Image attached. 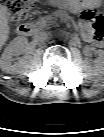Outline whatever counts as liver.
Masks as SVG:
<instances>
[{
	"mask_svg": "<svg viewBox=\"0 0 104 137\" xmlns=\"http://www.w3.org/2000/svg\"><path fill=\"white\" fill-rule=\"evenodd\" d=\"M9 37V25L6 17V8L1 7L0 11V40L1 44L7 41Z\"/></svg>",
	"mask_w": 104,
	"mask_h": 137,
	"instance_id": "liver-1",
	"label": "liver"
}]
</instances>
